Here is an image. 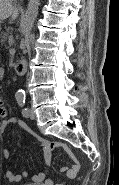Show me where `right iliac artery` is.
Instances as JSON below:
<instances>
[{"mask_svg": "<svg viewBox=\"0 0 119 185\" xmlns=\"http://www.w3.org/2000/svg\"><path fill=\"white\" fill-rule=\"evenodd\" d=\"M24 97H25L24 93H17V94H16V98H17V99H19V98H24Z\"/></svg>", "mask_w": 119, "mask_h": 185, "instance_id": "1", "label": "right iliac artery"}]
</instances>
